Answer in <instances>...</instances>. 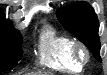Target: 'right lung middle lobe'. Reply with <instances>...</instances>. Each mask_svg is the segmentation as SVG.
<instances>
[{"mask_svg": "<svg viewBox=\"0 0 107 75\" xmlns=\"http://www.w3.org/2000/svg\"><path fill=\"white\" fill-rule=\"evenodd\" d=\"M22 38L12 25L0 29V72L16 66L22 57Z\"/></svg>", "mask_w": 107, "mask_h": 75, "instance_id": "1", "label": "right lung middle lobe"}]
</instances>
